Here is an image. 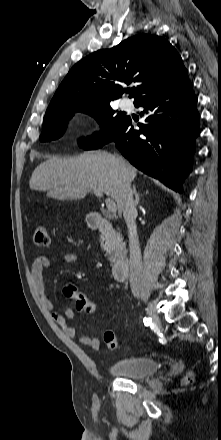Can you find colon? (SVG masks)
I'll use <instances>...</instances> for the list:
<instances>
[{"label":"colon","instance_id":"obj_1","mask_svg":"<svg viewBox=\"0 0 221 440\" xmlns=\"http://www.w3.org/2000/svg\"><path fill=\"white\" fill-rule=\"evenodd\" d=\"M34 242L38 246L47 247L50 244L49 234L45 225L40 224L34 231ZM64 294L67 298L73 300L75 308L78 311H84L93 313L97 310V304L89 300L79 291H76L73 287L67 286L64 288ZM104 341L110 350H117L119 348V342L113 331L108 330L104 333ZM193 374L188 373L183 382L184 384H191L193 382Z\"/></svg>","mask_w":221,"mask_h":440}]
</instances>
